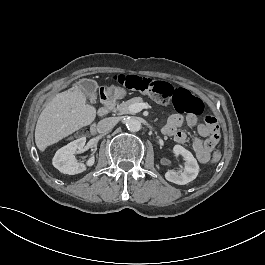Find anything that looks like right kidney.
I'll return each instance as SVG.
<instances>
[{
	"label": "right kidney",
	"mask_w": 265,
	"mask_h": 265,
	"mask_svg": "<svg viewBox=\"0 0 265 265\" xmlns=\"http://www.w3.org/2000/svg\"><path fill=\"white\" fill-rule=\"evenodd\" d=\"M86 143V137H81L77 140L70 142L65 147L59 149L54 158L53 166L60 172L68 175H77L83 173L88 167H93L95 164V155L93 154L85 164L78 163L74 153L81 151Z\"/></svg>",
	"instance_id": "1"
}]
</instances>
